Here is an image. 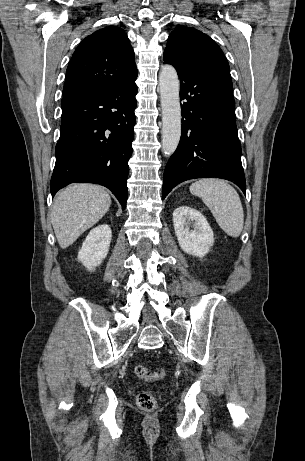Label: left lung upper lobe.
Listing matches in <instances>:
<instances>
[{
	"mask_svg": "<svg viewBox=\"0 0 305 461\" xmlns=\"http://www.w3.org/2000/svg\"><path fill=\"white\" fill-rule=\"evenodd\" d=\"M163 59L176 70L191 73L215 70L230 72L227 59L215 41L201 31L186 26H178L170 34Z\"/></svg>",
	"mask_w": 305,
	"mask_h": 461,
	"instance_id": "left-lung-upper-lobe-1",
	"label": "left lung upper lobe"
}]
</instances>
